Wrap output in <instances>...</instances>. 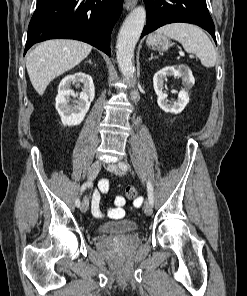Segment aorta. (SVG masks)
<instances>
[{
    "label": "aorta",
    "mask_w": 247,
    "mask_h": 296,
    "mask_svg": "<svg viewBox=\"0 0 247 296\" xmlns=\"http://www.w3.org/2000/svg\"><path fill=\"white\" fill-rule=\"evenodd\" d=\"M146 21V11L143 6L133 9L126 17L119 31L116 45V57L119 69L129 82H134V49L139 40ZM137 91H132L131 97L136 99Z\"/></svg>",
    "instance_id": "obj_1"
}]
</instances>
